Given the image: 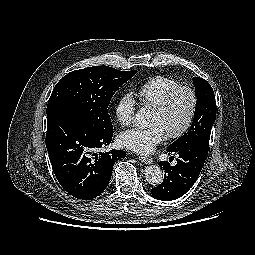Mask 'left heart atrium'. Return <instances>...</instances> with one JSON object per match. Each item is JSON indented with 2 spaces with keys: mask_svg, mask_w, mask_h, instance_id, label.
<instances>
[{
  "mask_svg": "<svg viewBox=\"0 0 255 255\" xmlns=\"http://www.w3.org/2000/svg\"><path fill=\"white\" fill-rule=\"evenodd\" d=\"M165 132L163 128L156 124L150 128H132L123 131L119 137V144L133 152L139 154L151 153L154 148L163 141Z\"/></svg>",
  "mask_w": 255,
  "mask_h": 255,
  "instance_id": "obj_1",
  "label": "left heart atrium"
}]
</instances>
